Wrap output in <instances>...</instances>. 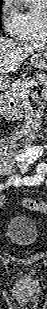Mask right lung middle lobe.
I'll return each mask as SVG.
<instances>
[{"label": "right lung middle lobe", "mask_w": 47, "mask_h": 309, "mask_svg": "<svg viewBox=\"0 0 47 309\" xmlns=\"http://www.w3.org/2000/svg\"><path fill=\"white\" fill-rule=\"evenodd\" d=\"M2 4V0H0V5ZM0 28H1V26H0Z\"/></svg>", "instance_id": "dd1d6c3e"}]
</instances>
